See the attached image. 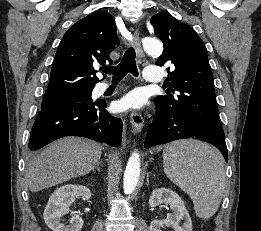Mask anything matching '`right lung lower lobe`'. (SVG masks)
I'll return each mask as SVG.
<instances>
[{"mask_svg":"<svg viewBox=\"0 0 261 231\" xmlns=\"http://www.w3.org/2000/svg\"><path fill=\"white\" fill-rule=\"evenodd\" d=\"M105 101L78 102L41 110L32 127L29 149L38 150L65 136H81L117 147L122 120L106 110Z\"/></svg>","mask_w":261,"mask_h":231,"instance_id":"1","label":"right lung lower lobe"}]
</instances>
